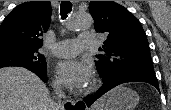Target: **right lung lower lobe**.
Instances as JSON below:
<instances>
[{"label": "right lung lower lobe", "mask_w": 171, "mask_h": 110, "mask_svg": "<svg viewBox=\"0 0 171 110\" xmlns=\"http://www.w3.org/2000/svg\"><path fill=\"white\" fill-rule=\"evenodd\" d=\"M33 71V70H31ZM35 74H37L44 82H46L47 77H46V72L42 73V72H38V71H33Z\"/></svg>", "instance_id": "right-lung-lower-lobe-1"}]
</instances>
